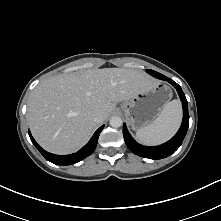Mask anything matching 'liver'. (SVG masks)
<instances>
[{
    "mask_svg": "<svg viewBox=\"0 0 221 221\" xmlns=\"http://www.w3.org/2000/svg\"><path fill=\"white\" fill-rule=\"evenodd\" d=\"M157 84L144 71L124 68L89 69L48 78L28 100L31 133L51 153H73L90 139L98 124L93 119L96 114L103 122L118 102Z\"/></svg>",
    "mask_w": 221,
    "mask_h": 221,
    "instance_id": "6515ba94",
    "label": "liver"
}]
</instances>
